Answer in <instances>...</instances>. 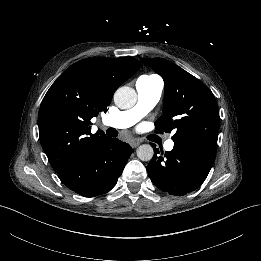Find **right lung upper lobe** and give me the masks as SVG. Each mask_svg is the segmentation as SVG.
Here are the masks:
<instances>
[{
    "label": "right lung upper lobe",
    "instance_id": "cb5924a9",
    "mask_svg": "<svg viewBox=\"0 0 261 261\" xmlns=\"http://www.w3.org/2000/svg\"><path fill=\"white\" fill-rule=\"evenodd\" d=\"M142 64L133 57L89 58L71 65L52 84L39 110L40 142L54 170L87 155L106 138L91 134V118L106 112L116 89Z\"/></svg>",
    "mask_w": 261,
    "mask_h": 261
}]
</instances>
